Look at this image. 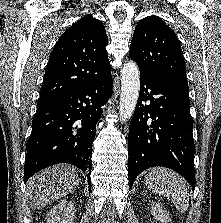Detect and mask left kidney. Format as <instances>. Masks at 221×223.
Here are the masks:
<instances>
[{
  "instance_id": "5707ae66",
  "label": "left kidney",
  "mask_w": 221,
  "mask_h": 223,
  "mask_svg": "<svg viewBox=\"0 0 221 223\" xmlns=\"http://www.w3.org/2000/svg\"><path fill=\"white\" fill-rule=\"evenodd\" d=\"M151 213L156 220H159L162 223H168L169 221H171L169 213L160 203L154 202L151 205Z\"/></svg>"
}]
</instances>
